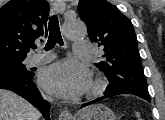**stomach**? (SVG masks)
Returning <instances> with one entry per match:
<instances>
[{"mask_svg":"<svg viewBox=\"0 0 165 120\" xmlns=\"http://www.w3.org/2000/svg\"><path fill=\"white\" fill-rule=\"evenodd\" d=\"M77 120H118L115 113L103 104H96L83 109Z\"/></svg>","mask_w":165,"mask_h":120,"instance_id":"0dacf381","label":"stomach"}]
</instances>
